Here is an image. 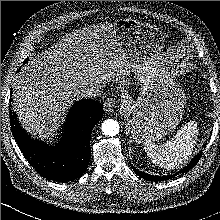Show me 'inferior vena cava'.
<instances>
[{"label": "inferior vena cava", "mask_w": 220, "mask_h": 220, "mask_svg": "<svg viewBox=\"0 0 220 220\" xmlns=\"http://www.w3.org/2000/svg\"><path fill=\"white\" fill-rule=\"evenodd\" d=\"M103 88L101 85H92L84 89L81 93L82 98H93L101 96Z\"/></svg>", "instance_id": "inferior-vena-cava-1"}]
</instances>
